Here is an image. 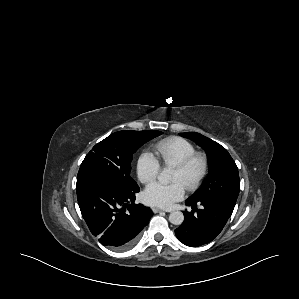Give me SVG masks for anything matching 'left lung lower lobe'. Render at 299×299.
<instances>
[{
  "instance_id": "1",
  "label": "left lung lower lobe",
  "mask_w": 299,
  "mask_h": 299,
  "mask_svg": "<svg viewBox=\"0 0 299 299\" xmlns=\"http://www.w3.org/2000/svg\"><path fill=\"white\" fill-rule=\"evenodd\" d=\"M197 204H201L202 209L197 211ZM186 205L192 206L193 211H184L185 220L175 234L187 246L196 247L211 242L233 212L232 208L217 200L194 202L188 199Z\"/></svg>"
}]
</instances>
